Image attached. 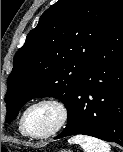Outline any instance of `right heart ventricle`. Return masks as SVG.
I'll use <instances>...</instances> for the list:
<instances>
[{"label":"right heart ventricle","mask_w":123,"mask_h":152,"mask_svg":"<svg viewBox=\"0 0 123 152\" xmlns=\"http://www.w3.org/2000/svg\"><path fill=\"white\" fill-rule=\"evenodd\" d=\"M19 130H20L21 134L25 135L23 130H22V128H21V124L20 123H19Z\"/></svg>","instance_id":"e07e8e85"}]
</instances>
